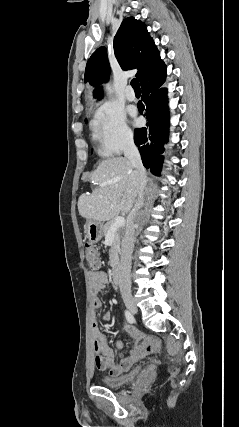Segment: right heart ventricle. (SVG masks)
<instances>
[{
	"instance_id": "1",
	"label": "right heart ventricle",
	"mask_w": 239,
	"mask_h": 427,
	"mask_svg": "<svg viewBox=\"0 0 239 427\" xmlns=\"http://www.w3.org/2000/svg\"><path fill=\"white\" fill-rule=\"evenodd\" d=\"M93 138L94 140L98 143V148L97 151L99 153V155L101 156H108L111 153L105 148V146L103 145L100 135L98 134V132L95 130L94 128V133H93Z\"/></svg>"
}]
</instances>
